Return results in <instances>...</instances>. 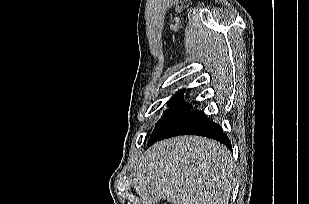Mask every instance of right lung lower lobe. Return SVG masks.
<instances>
[{
    "mask_svg": "<svg viewBox=\"0 0 309 204\" xmlns=\"http://www.w3.org/2000/svg\"><path fill=\"white\" fill-rule=\"evenodd\" d=\"M178 135H201L215 139L231 148V143L220 125L208 120L206 115L198 110L190 111L149 145L157 140Z\"/></svg>",
    "mask_w": 309,
    "mask_h": 204,
    "instance_id": "obj_1",
    "label": "right lung lower lobe"
}]
</instances>
